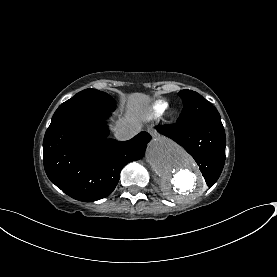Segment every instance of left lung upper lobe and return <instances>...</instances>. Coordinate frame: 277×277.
I'll return each instance as SVG.
<instances>
[{
	"mask_svg": "<svg viewBox=\"0 0 277 277\" xmlns=\"http://www.w3.org/2000/svg\"><path fill=\"white\" fill-rule=\"evenodd\" d=\"M178 95L184 103V110L178 123L186 124L209 119L221 120L216 108L197 92L181 90Z\"/></svg>",
	"mask_w": 277,
	"mask_h": 277,
	"instance_id": "5c2ea615",
	"label": "left lung upper lobe"
}]
</instances>
